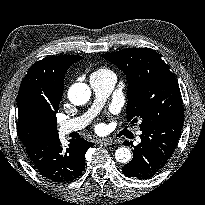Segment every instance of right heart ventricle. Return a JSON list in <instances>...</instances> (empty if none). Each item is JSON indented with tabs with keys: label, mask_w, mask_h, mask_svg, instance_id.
Instances as JSON below:
<instances>
[{
	"label": "right heart ventricle",
	"mask_w": 205,
	"mask_h": 205,
	"mask_svg": "<svg viewBox=\"0 0 205 205\" xmlns=\"http://www.w3.org/2000/svg\"><path fill=\"white\" fill-rule=\"evenodd\" d=\"M106 72H110V71L107 69L101 68V69H98L97 71H95L93 74L106 73Z\"/></svg>",
	"instance_id": "obj_1"
}]
</instances>
